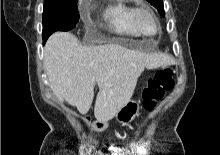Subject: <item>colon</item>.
<instances>
[{"label": "colon", "instance_id": "1", "mask_svg": "<svg viewBox=\"0 0 220 155\" xmlns=\"http://www.w3.org/2000/svg\"><path fill=\"white\" fill-rule=\"evenodd\" d=\"M174 86L173 71L164 68L155 73L147 81L143 90V105L145 109H153L163 98L165 92L170 91ZM110 155H119L120 146H111Z\"/></svg>", "mask_w": 220, "mask_h": 155}]
</instances>
